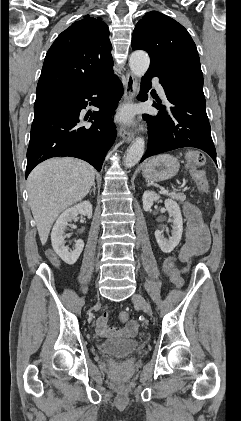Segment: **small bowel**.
I'll use <instances>...</instances> for the list:
<instances>
[{
    "label": "small bowel",
    "mask_w": 241,
    "mask_h": 421,
    "mask_svg": "<svg viewBox=\"0 0 241 421\" xmlns=\"http://www.w3.org/2000/svg\"><path fill=\"white\" fill-rule=\"evenodd\" d=\"M183 213L187 218L185 242L180 250L179 258L188 261L192 257L204 254L210 245V235L203 222L199 210L191 203H185ZM109 312L102 314L96 323L97 333L106 338H131L136 335L139 325L129 321L124 326L115 327L108 324Z\"/></svg>",
    "instance_id": "c3829d8e"
}]
</instances>
